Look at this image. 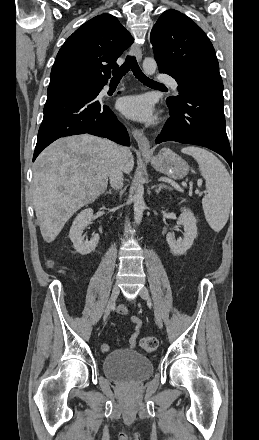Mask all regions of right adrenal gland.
<instances>
[{
	"mask_svg": "<svg viewBox=\"0 0 259 440\" xmlns=\"http://www.w3.org/2000/svg\"><path fill=\"white\" fill-rule=\"evenodd\" d=\"M105 194H112V191L111 190L106 191Z\"/></svg>",
	"mask_w": 259,
	"mask_h": 440,
	"instance_id": "right-adrenal-gland-1",
	"label": "right adrenal gland"
}]
</instances>
